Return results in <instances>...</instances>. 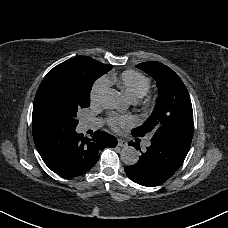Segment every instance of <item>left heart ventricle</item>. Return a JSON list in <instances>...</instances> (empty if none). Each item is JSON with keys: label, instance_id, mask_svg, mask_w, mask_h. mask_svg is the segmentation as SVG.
<instances>
[{"label": "left heart ventricle", "instance_id": "left-heart-ventricle-1", "mask_svg": "<svg viewBox=\"0 0 228 228\" xmlns=\"http://www.w3.org/2000/svg\"><path fill=\"white\" fill-rule=\"evenodd\" d=\"M127 103L129 104L128 99H127ZM128 109H129V108H128ZM128 109H127V110L115 109V110H116V112L118 113V116H122V114H125V113L128 111ZM122 117H123V116H122Z\"/></svg>", "mask_w": 228, "mask_h": 228}]
</instances>
